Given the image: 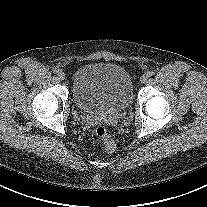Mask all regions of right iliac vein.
<instances>
[{"mask_svg":"<svg viewBox=\"0 0 207 207\" xmlns=\"http://www.w3.org/2000/svg\"><path fill=\"white\" fill-rule=\"evenodd\" d=\"M57 76H58V78L60 80H64L65 79V73L62 70H58Z\"/></svg>","mask_w":207,"mask_h":207,"instance_id":"right-iliac-vein-1","label":"right iliac vein"}]
</instances>
